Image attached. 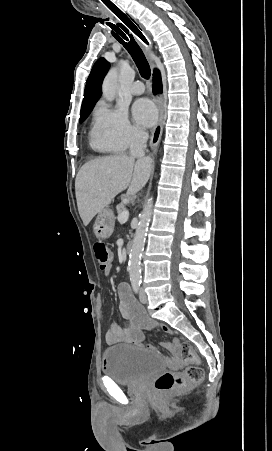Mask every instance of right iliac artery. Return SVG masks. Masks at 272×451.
<instances>
[{"label":"right iliac artery","mask_w":272,"mask_h":451,"mask_svg":"<svg viewBox=\"0 0 272 451\" xmlns=\"http://www.w3.org/2000/svg\"><path fill=\"white\" fill-rule=\"evenodd\" d=\"M132 288H133V291L136 294H138L141 289V282L140 281L132 282Z\"/></svg>","instance_id":"82829eb1"}]
</instances>
